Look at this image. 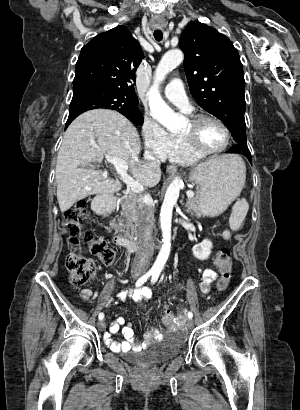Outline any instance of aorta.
I'll use <instances>...</instances> for the list:
<instances>
[{
    "label": "aorta",
    "instance_id": "1",
    "mask_svg": "<svg viewBox=\"0 0 300 410\" xmlns=\"http://www.w3.org/2000/svg\"><path fill=\"white\" fill-rule=\"evenodd\" d=\"M181 50L168 51L160 60L154 75V82L148 92L149 106L152 117L172 132H178L183 125V118L178 116L164 102L160 95L159 85L167 74L183 61ZM182 180L176 177L168 186L160 211V225L162 230V247L154 262L152 270L161 272L171 249L172 211L179 198Z\"/></svg>",
    "mask_w": 300,
    "mask_h": 410
}]
</instances>
